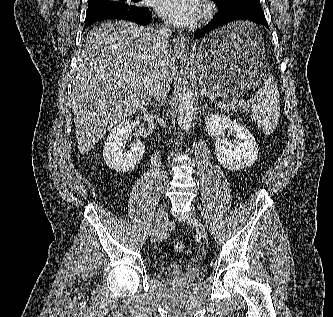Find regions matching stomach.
I'll use <instances>...</instances> for the list:
<instances>
[{"label":"stomach","mask_w":333,"mask_h":317,"mask_svg":"<svg viewBox=\"0 0 333 317\" xmlns=\"http://www.w3.org/2000/svg\"><path fill=\"white\" fill-rule=\"evenodd\" d=\"M263 55L257 24L239 21L208 33L196 55L201 88L224 99L254 95L261 82H269Z\"/></svg>","instance_id":"1"}]
</instances>
